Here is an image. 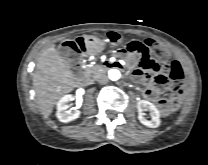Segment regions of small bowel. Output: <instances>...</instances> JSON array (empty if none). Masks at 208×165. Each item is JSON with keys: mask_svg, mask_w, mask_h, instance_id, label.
Returning a JSON list of instances; mask_svg holds the SVG:
<instances>
[{"mask_svg": "<svg viewBox=\"0 0 208 165\" xmlns=\"http://www.w3.org/2000/svg\"><path fill=\"white\" fill-rule=\"evenodd\" d=\"M126 65L133 68L136 65V57L133 54L125 56ZM186 68L181 61H175L171 56H164L159 61V68L153 69L149 75L142 70H135L133 76L147 84L142 95L152 101L168 89L167 85L181 84L186 77Z\"/></svg>", "mask_w": 208, "mask_h": 165, "instance_id": "obj_1", "label": "small bowel"}]
</instances>
